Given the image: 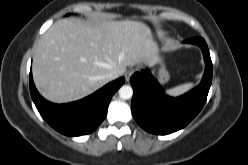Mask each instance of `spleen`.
I'll use <instances>...</instances> for the list:
<instances>
[{"label":"spleen","mask_w":248,"mask_h":165,"mask_svg":"<svg viewBox=\"0 0 248 165\" xmlns=\"http://www.w3.org/2000/svg\"><path fill=\"white\" fill-rule=\"evenodd\" d=\"M192 87H193V83H185L167 90L166 93L170 96L176 97L189 91Z\"/></svg>","instance_id":"3e777b00"}]
</instances>
